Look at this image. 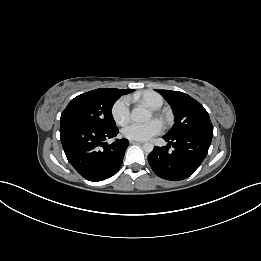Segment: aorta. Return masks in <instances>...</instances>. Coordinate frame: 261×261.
Instances as JSON below:
<instances>
[{"label":"aorta","mask_w":261,"mask_h":261,"mask_svg":"<svg viewBox=\"0 0 261 261\" xmlns=\"http://www.w3.org/2000/svg\"><path fill=\"white\" fill-rule=\"evenodd\" d=\"M151 118V113L144 107H136L131 112V119L135 122H145ZM154 149V145L152 143H144L143 150L146 153H151Z\"/></svg>","instance_id":"762f6f07"}]
</instances>
